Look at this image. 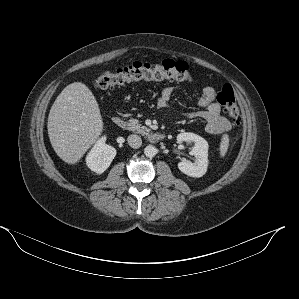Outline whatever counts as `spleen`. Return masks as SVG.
I'll return each instance as SVG.
<instances>
[{"instance_id": "3e777b00", "label": "spleen", "mask_w": 299, "mask_h": 299, "mask_svg": "<svg viewBox=\"0 0 299 299\" xmlns=\"http://www.w3.org/2000/svg\"><path fill=\"white\" fill-rule=\"evenodd\" d=\"M228 147H229V138L227 134H224L222 136L220 147H219V153L221 157H224L226 155Z\"/></svg>"}]
</instances>
